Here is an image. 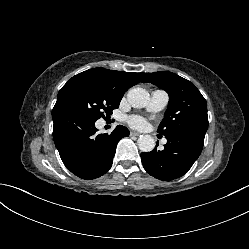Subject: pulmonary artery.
I'll return each instance as SVG.
<instances>
[{
	"label": "pulmonary artery",
	"mask_w": 249,
	"mask_h": 249,
	"mask_svg": "<svg viewBox=\"0 0 249 249\" xmlns=\"http://www.w3.org/2000/svg\"><path fill=\"white\" fill-rule=\"evenodd\" d=\"M168 94L163 90H155L152 92L151 100L148 105V110L152 112H159L165 108L168 103ZM163 143H166V139H163Z\"/></svg>",
	"instance_id": "1"
}]
</instances>
